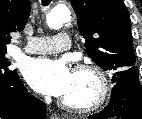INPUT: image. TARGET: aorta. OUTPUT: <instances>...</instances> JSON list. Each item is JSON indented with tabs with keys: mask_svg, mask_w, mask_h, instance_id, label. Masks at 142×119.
I'll use <instances>...</instances> for the list:
<instances>
[{
	"mask_svg": "<svg viewBox=\"0 0 142 119\" xmlns=\"http://www.w3.org/2000/svg\"><path fill=\"white\" fill-rule=\"evenodd\" d=\"M70 19V10L65 6H57L46 15L49 28L60 29Z\"/></svg>",
	"mask_w": 142,
	"mask_h": 119,
	"instance_id": "762f6f07",
	"label": "aorta"
}]
</instances>
